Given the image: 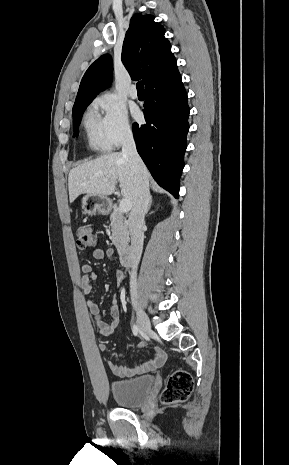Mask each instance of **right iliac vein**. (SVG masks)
I'll list each match as a JSON object with an SVG mask.
<instances>
[{
  "label": "right iliac vein",
  "mask_w": 289,
  "mask_h": 465,
  "mask_svg": "<svg viewBox=\"0 0 289 465\" xmlns=\"http://www.w3.org/2000/svg\"><path fill=\"white\" fill-rule=\"evenodd\" d=\"M133 306L136 310L137 322L141 334L144 337H149L153 333V331L151 329L150 321L147 314L136 301L133 302Z\"/></svg>",
  "instance_id": "63e3f726"
}]
</instances>
